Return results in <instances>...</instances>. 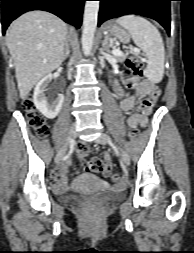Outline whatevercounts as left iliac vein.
I'll use <instances>...</instances> for the list:
<instances>
[{
  "instance_id": "4c4485c4",
  "label": "left iliac vein",
  "mask_w": 194,
  "mask_h": 253,
  "mask_svg": "<svg viewBox=\"0 0 194 253\" xmlns=\"http://www.w3.org/2000/svg\"><path fill=\"white\" fill-rule=\"evenodd\" d=\"M96 142L99 144H108L110 141H109V137L107 134L101 133L100 136L96 139ZM119 154H120L121 162H122L123 166H129L130 158H129L128 154L122 149L119 150Z\"/></svg>"
}]
</instances>
